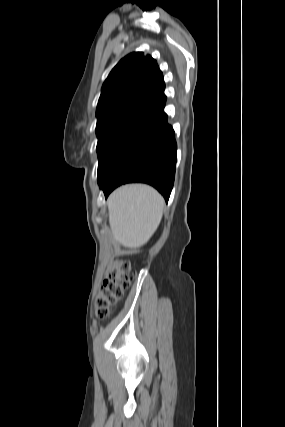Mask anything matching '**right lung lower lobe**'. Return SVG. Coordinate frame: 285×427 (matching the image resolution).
I'll use <instances>...</instances> for the list:
<instances>
[{
  "instance_id": "98d812e1",
  "label": "right lung lower lobe",
  "mask_w": 285,
  "mask_h": 427,
  "mask_svg": "<svg viewBox=\"0 0 285 427\" xmlns=\"http://www.w3.org/2000/svg\"><path fill=\"white\" fill-rule=\"evenodd\" d=\"M162 97L145 112L117 150L107 168L98 175L105 197L117 186L144 182L155 187L168 201L175 176L176 142L167 123Z\"/></svg>"
}]
</instances>
